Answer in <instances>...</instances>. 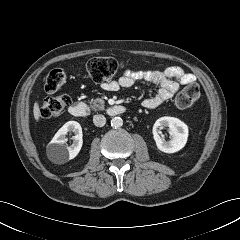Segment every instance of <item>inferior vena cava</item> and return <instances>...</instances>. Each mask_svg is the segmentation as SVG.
<instances>
[{"label":"inferior vena cava","mask_w":240,"mask_h":240,"mask_svg":"<svg viewBox=\"0 0 240 240\" xmlns=\"http://www.w3.org/2000/svg\"><path fill=\"white\" fill-rule=\"evenodd\" d=\"M93 123L95 124V126L97 127H103L106 123V118L104 117V115H95L93 117Z\"/></svg>","instance_id":"obj_1"}]
</instances>
